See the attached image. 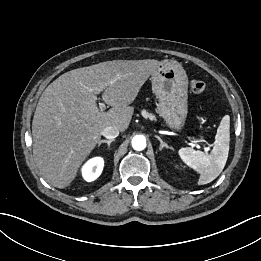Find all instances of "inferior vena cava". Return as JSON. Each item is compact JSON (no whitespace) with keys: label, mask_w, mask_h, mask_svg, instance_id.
I'll use <instances>...</instances> for the list:
<instances>
[{"label":"inferior vena cava","mask_w":261,"mask_h":261,"mask_svg":"<svg viewBox=\"0 0 261 261\" xmlns=\"http://www.w3.org/2000/svg\"><path fill=\"white\" fill-rule=\"evenodd\" d=\"M103 136L107 139H115L119 135V129L114 126H108L103 131Z\"/></svg>","instance_id":"1"}]
</instances>
